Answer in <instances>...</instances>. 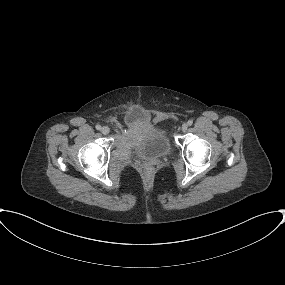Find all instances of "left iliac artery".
<instances>
[{
    "label": "left iliac artery",
    "mask_w": 285,
    "mask_h": 285,
    "mask_svg": "<svg viewBox=\"0 0 285 285\" xmlns=\"http://www.w3.org/2000/svg\"><path fill=\"white\" fill-rule=\"evenodd\" d=\"M187 124H188L189 126H191V125L193 124V121H192V120H189V121L187 122Z\"/></svg>",
    "instance_id": "left-iliac-artery-1"
}]
</instances>
